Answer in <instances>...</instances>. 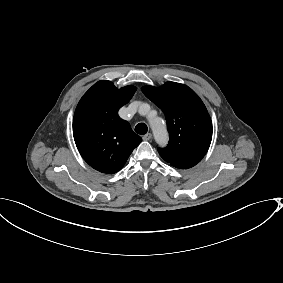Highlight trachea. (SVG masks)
Wrapping results in <instances>:
<instances>
[{"instance_id":"trachea-1","label":"trachea","mask_w":283,"mask_h":283,"mask_svg":"<svg viewBox=\"0 0 283 283\" xmlns=\"http://www.w3.org/2000/svg\"><path fill=\"white\" fill-rule=\"evenodd\" d=\"M147 131H148V127L145 123H139L135 126V132L140 135L146 134Z\"/></svg>"}]
</instances>
